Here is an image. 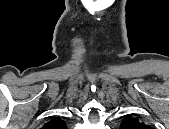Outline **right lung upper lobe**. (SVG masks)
<instances>
[{
    "label": "right lung upper lobe",
    "mask_w": 169,
    "mask_h": 129,
    "mask_svg": "<svg viewBox=\"0 0 169 129\" xmlns=\"http://www.w3.org/2000/svg\"><path fill=\"white\" fill-rule=\"evenodd\" d=\"M46 129H66V123L60 118H53L44 125Z\"/></svg>",
    "instance_id": "right-lung-upper-lobe-1"
}]
</instances>
